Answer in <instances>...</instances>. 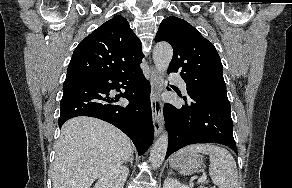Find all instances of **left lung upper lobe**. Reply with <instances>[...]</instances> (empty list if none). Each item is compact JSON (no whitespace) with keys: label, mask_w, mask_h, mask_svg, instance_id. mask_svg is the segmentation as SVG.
I'll list each match as a JSON object with an SVG mask.
<instances>
[{"label":"left lung upper lobe","mask_w":292,"mask_h":188,"mask_svg":"<svg viewBox=\"0 0 292 188\" xmlns=\"http://www.w3.org/2000/svg\"><path fill=\"white\" fill-rule=\"evenodd\" d=\"M155 40L172 45L174 54L168 72H180L188 93L228 99L216 48L188 22L173 16L164 19Z\"/></svg>","instance_id":"5c2ea615"}]
</instances>
